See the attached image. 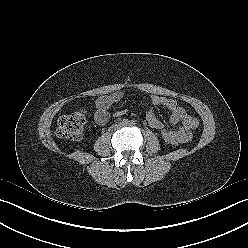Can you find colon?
<instances>
[{"label":"colon","mask_w":248,"mask_h":248,"mask_svg":"<svg viewBox=\"0 0 248 248\" xmlns=\"http://www.w3.org/2000/svg\"><path fill=\"white\" fill-rule=\"evenodd\" d=\"M86 117L84 112L76 111L71 114L62 115L57 122L56 134L60 138L69 140H80L84 135ZM162 140L169 145L179 144L178 136L171 130H161Z\"/></svg>","instance_id":"1"}]
</instances>
